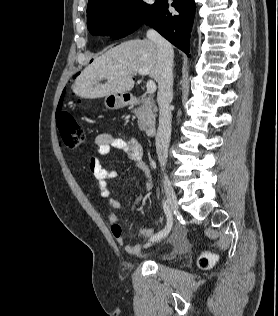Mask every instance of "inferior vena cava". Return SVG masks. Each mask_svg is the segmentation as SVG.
<instances>
[{"instance_id": "obj_1", "label": "inferior vena cava", "mask_w": 278, "mask_h": 316, "mask_svg": "<svg viewBox=\"0 0 278 316\" xmlns=\"http://www.w3.org/2000/svg\"><path fill=\"white\" fill-rule=\"evenodd\" d=\"M147 38L157 45L159 58L161 61V80L158 86L157 101L159 105V127L155 139L156 152L162 169L165 168L168 147L171 137V111L170 102L173 97V59L174 53L172 45L164 39L157 31L150 29L147 31Z\"/></svg>"}]
</instances>
